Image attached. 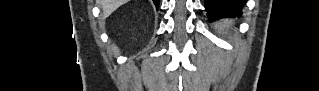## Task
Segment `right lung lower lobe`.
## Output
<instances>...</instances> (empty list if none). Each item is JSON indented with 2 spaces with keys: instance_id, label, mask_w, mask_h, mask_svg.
Masks as SVG:
<instances>
[{
  "instance_id": "98d812e1",
  "label": "right lung lower lobe",
  "mask_w": 319,
  "mask_h": 91,
  "mask_svg": "<svg viewBox=\"0 0 319 91\" xmlns=\"http://www.w3.org/2000/svg\"><path fill=\"white\" fill-rule=\"evenodd\" d=\"M153 2H154V4H155V6H156V8L158 9V7H159V0H153Z\"/></svg>"
}]
</instances>
